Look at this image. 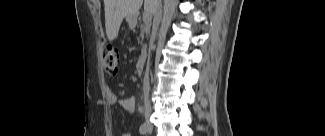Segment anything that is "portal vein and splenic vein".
<instances>
[{
	"label": "portal vein and splenic vein",
	"instance_id": "portal-vein-and-splenic-vein-1",
	"mask_svg": "<svg viewBox=\"0 0 325 136\" xmlns=\"http://www.w3.org/2000/svg\"><path fill=\"white\" fill-rule=\"evenodd\" d=\"M151 19H152L151 13L146 11L143 14V22L147 24V23L151 22Z\"/></svg>",
	"mask_w": 325,
	"mask_h": 136
}]
</instances>
